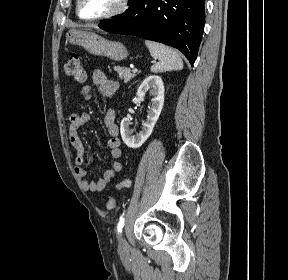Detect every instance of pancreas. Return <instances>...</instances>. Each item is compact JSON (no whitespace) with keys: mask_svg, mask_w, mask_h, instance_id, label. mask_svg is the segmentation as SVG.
I'll use <instances>...</instances> for the list:
<instances>
[{"mask_svg":"<svg viewBox=\"0 0 288 280\" xmlns=\"http://www.w3.org/2000/svg\"><path fill=\"white\" fill-rule=\"evenodd\" d=\"M114 70L118 73L119 78L124 80L125 83L129 82L135 74L131 73V70L126 67H114Z\"/></svg>","mask_w":288,"mask_h":280,"instance_id":"1","label":"pancreas"}]
</instances>
